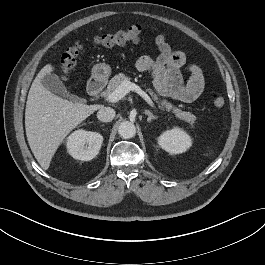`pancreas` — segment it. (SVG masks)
I'll list each match as a JSON object with an SVG mask.
<instances>
[{"mask_svg":"<svg viewBox=\"0 0 265 265\" xmlns=\"http://www.w3.org/2000/svg\"><path fill=\"white\" fill-rule=\"evenodd\" d=\"M130 81V78L123 73H119L111 78L107 89L102 93L103 96H108L112 93L123 81ZM148 92L152 96V98L160 104V108L166 111H172L175 114V117L183 120L190 124L191 128H194V124L196 121V116L190 112L182 111L181 109L174 107L170 102L167 100H160L157 94L154 93L153 90L148 89Z\"/></svg>","mask_w":265,"mask_h":265,"instance_id":"1","label":"pancreas"}]
</instances>
